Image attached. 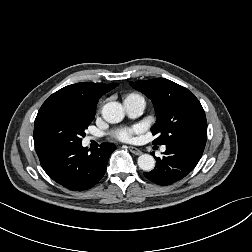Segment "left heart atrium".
<instances>
[{
    "instance_id": "obj_1",
    "label": "left heart atrium",
    "mask_w": 252,
    "mask_h": 252,
    "mask_svg": "<svg viewBox=\"0 0 252 252\" xmlns=\"http://www.w3.org/2000/svg\"><path fill=\"white\" fill-rule=\"evenodd\" d=\"M140 132L139 127L121 128L114 132V136L121 141L131 142L134 139V135Z\"/></svg>"
}]
</instances>
